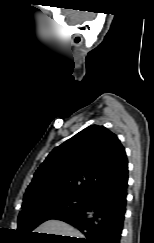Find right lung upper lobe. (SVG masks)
Wrapping results in <instances>:
<instances>
[{"mask_svg": "<svg viewBox=\"0 0 154 243\" xmlns=\"http://www.w3.org/2000/svg\"><path fill=\"white\" fill-rule=\"evenodd\" d=\"M127 167L117 136L103 126H89L48 155L35 172L23 204L59 195L87 197Z\"/></svg>", "mask_w": 154, "mask_h": 243, "instance_id": "cb5924a9", "label": "right lung upper lobe"}]
</instances>
